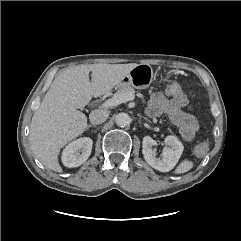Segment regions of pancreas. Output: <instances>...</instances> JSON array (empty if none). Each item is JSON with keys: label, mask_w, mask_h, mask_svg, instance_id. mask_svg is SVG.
<instances>
[{"label": "pancreas", "mask_w": 241, "mask_h": 241, "mask_svg": "<svg viewBox=\"0 0 241 241\" xmlns=\"http://www.w3.org/2000/svg\"><path fill=\"white\" fill-rule=\"evenodd\" d=\"M128 92L134 93V92H135L134 87L131 86V85L121 87V88H119V89L117 90V92L115 93V95H120V94H124V93H128Z\"/></svg>", "instance_id": "obj_1"}]
</instances>
